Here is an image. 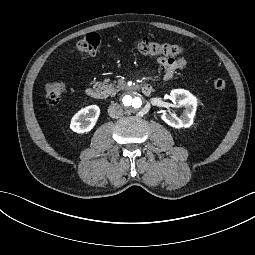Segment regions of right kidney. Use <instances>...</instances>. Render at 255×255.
<instances>
[{"mask_svg": "<svg viewBox=\"0 0 255 255\" xmlns=\"http://www.w3.org/2000/svg\"><path fill=\"white\" fill-rule=\"evenodd\" d=\"M99 115L100 108L97 105L87 106L72 117L70 129L78 134L89 133L96 125Z\"/></svg>", "mask_w": 255, "mask_h": 255, "instance_id": "obj_1", "label": "right kidney"}]
</instances>
